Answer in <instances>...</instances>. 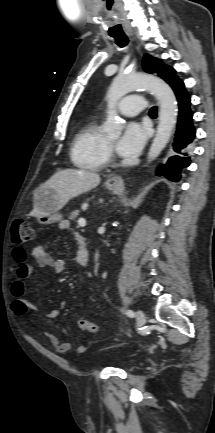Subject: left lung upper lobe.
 I'll return each mask as SVG.
<instances>
[{"mask_svg":"<svg viewBox=\"0 0 215 433\" xmlns=\"http://www.w3.org/2000/svg\"><path fill=\"white\" fill-rule=\"evenodd\" d=\"M143 68L148 73H158V75L167 83H170L174 78H177L175 70L172 67L164 65L159 59L153 58L148 54L144 56Z\"/></svg>","mask_w":215,"mask_h":433,"instance_id":"5c2ea615","label":"left lung upper lobe"}]
</instances>
